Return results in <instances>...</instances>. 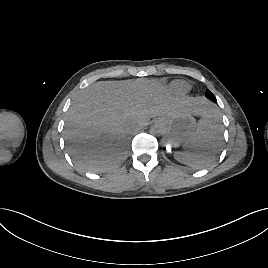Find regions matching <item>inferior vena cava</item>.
<instances>
[{"label": "inferior vena cava", "mask_w": 268, "mask_h": 268, "mask_svg": "<svg viewBox=\"0 0 268 268\" xmlns=\"http://www.w3.org/2000/svg\"><path fill=\"white\" fill-rule=\"evenodd\" d=\"M137 127L133 128L131 132L135 131Z\"/></svg>", "instance_id": "inferior-vena-cava-1"}]
</instances>
